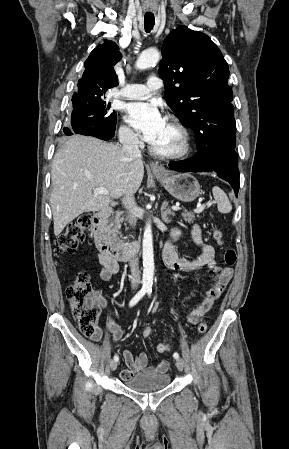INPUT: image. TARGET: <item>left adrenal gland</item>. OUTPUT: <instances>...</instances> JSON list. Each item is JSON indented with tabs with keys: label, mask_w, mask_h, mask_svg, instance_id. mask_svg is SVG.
<instances>
[{
	"label": "left adrenal gland",
	"mask_w": 289,
	"mask_h": 449,
	"mask_svg": "<svg viewBox=\"0 0 289 449\" xmlns=\"http://www.w3.org/2000/svg\"><path fill=\"white\" fill-rule=\"evenodd\" d=\"M174 215H175V213H174L171 209L168 208V201H164L163 204H162V206H161V216H162V219H163L166 223H168V222L171 221V218H169V216H172V217H173Z\"/></svg>",
	"instance_id": "left-adrenal-gland-1"
}]
</instances>
